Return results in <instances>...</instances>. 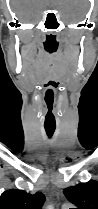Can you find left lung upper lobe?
Instances as JSON below:
<instances>
[{
	"instance_id": "1",
	"label": "left lung upper lobe",
	"mask_w": 98,
	"mask_h": 209,
	"mask_svg": "<svg viewBox=\"0 0 98 209\" xmlns=\"http://www.w3.org/2000/svg\"><path fill=\"white\" fill-rule=\"evenodd\" d=\"M66 198L77 209H98V182L89 181L63 190Z\"/></svg>"
}]
</instances>
